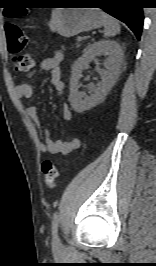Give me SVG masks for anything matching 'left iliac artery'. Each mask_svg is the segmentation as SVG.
<instances>
[{"label":"left iliac artery","instance_id":"44dca946","mask_svg":"<svg viewBox=\"0 0 156 266\" xmlns=\"http://www.w3.org/2000/svg\"><path fill=\"white\" fill-rule=\"evenodd\" d=\"M58 226H59V215L55 214L52 221V233L54 236L57 235Z\"/></svg>","mask_w":156,"mask_h":266}]
</instances>
